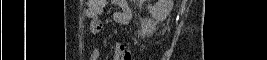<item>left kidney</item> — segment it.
I'll return each instance as SVG.
<instances>
[{
  "label": "left kidney",
  "instance_id": "obj_1",
  "mask_svg": "<svg viewBox=\"0 0 267 60\" xmlns=\"http://www.w3.org/2000/svg\"><path fill=\"white\" fill-rule=\"evenodd\" d=\"M172 8V0H158L154 5L149 6V12L156 22H162L171 13Z\"/></svg>",
  "mask_w": 267,
  "mask_h": 60
}]
</instances>
